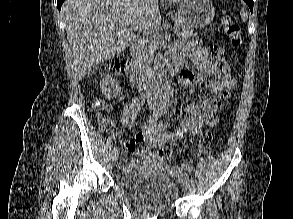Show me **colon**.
Returning a JSON list of instances; mask_svg holds the SVG:
<instances>
[{"mask_svg": "<svg viewBox=\"0 0 293 219\" xmlns=\"http://www.w3.org/2000/svg\"><path fill=\"white\" fill-rule=\"evenodd\" d=\"M222 25L224 32L229 37L231 43L235 46L240 45L242 43V36L238 23L231 16H225L222 20ZM210 50L218 69L224 74H229L230 68L224 57V47L219 44H215L210 47ZM107 68L118 75H125L129 69V59L123 56L116 57L108 63ZM94 109L97 114L99 125L103 129L110 130L112 128V122L102 115L103 111L109 109V105L104 101H96L94 103ZM212 140L213 134L209 130L200 135L197 156L202 155L209 149ZM158 156L161 160L168 161L172 156L171 145L166 144L161 146L158 150Z\"/></svg>", "mask_w": 293, "mask_h": 219, "instance_id": "colon-1", "label": "colon"}]
</instances>
